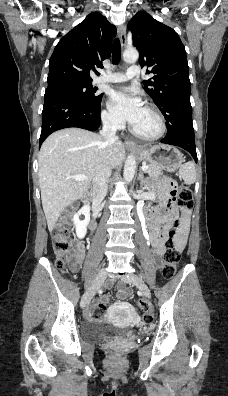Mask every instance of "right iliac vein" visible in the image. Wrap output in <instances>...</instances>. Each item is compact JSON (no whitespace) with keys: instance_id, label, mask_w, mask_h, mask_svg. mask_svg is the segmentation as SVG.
I'll return each mask as SVG.
<instances>
[{"instance_id":"right-iliac-vein-1","label":"right iliac vein","mask_w":228,"mask_h":396,"mask_svg":"<svg viewBox=\"0 0 228 396\" xmlns=\"http://www.w3.org/2000/svg\"><path fill=\"white\" fill-rule=\"evenodd\" d=\"M106 274L107 273L104 268L98 272L92 286L85 292V294L83 295V297L81 299V303H80L81 308H85L86 305L90 302V300L94 296L97 288L103 282V280L106 278Z\"/></svg>"}]
</instances>
